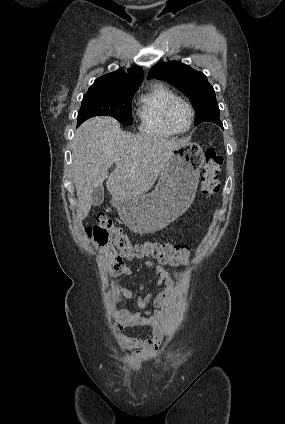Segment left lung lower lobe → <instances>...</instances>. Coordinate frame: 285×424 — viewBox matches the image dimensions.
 I'll return each instance as SVG.
<instances>
[{
    "mask_svg": "<svg viewBox=\"0 0 285 424\" xmlns=\"http://www.w3.org/2000/svg\"><path fill=\"white\" fill-rule=\"evenodd\" d=\"M215 123L223 128V125H222V122L220 121V119L215 120Z\"/></svg>",
    "mask_w": 285,
    "mask_h": 424,
    "instance_id": "0a47b994",
    "label": "left lung lower lobe"
}]
</instances>
